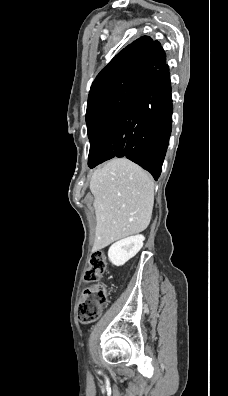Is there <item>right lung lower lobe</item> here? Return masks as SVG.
I'll use <instances>...</instances> for the list:
<instances>
[{
	"label": "right lung lower lobe",
	"instance_id": "right-lung-lower-lobe-1",
	"mask_svg": "<svg viewBox=\"0 0 228 396\" xmlns=\"http://www.w3.org/2000/svg\"><path fill=\"white\" fill-rule=\"evenodd\" d=\"M166 55L160 47L143 61L145 74L114 120L90 168L114 157H126L161 174L172 126L171 83Z\"/></svg>",
	"mask_w": 228,
	"mask_h": 396
}]
</instances>
